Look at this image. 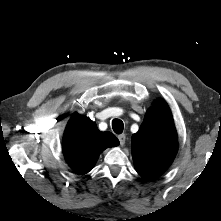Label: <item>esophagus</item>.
Wrapping results in <instances>:
<instances>
[{"mask_svg": "<svg viewBox=\"0 0 221 221\" xmlns=\"http://www.w3.org/2000/svg\"><path fill=\"white\" fill-rule=\"evenodd\" d=\"M118 139H119L120 145L123 146L125 144V140H126L125 134L118 135Z\"/></svg>", "mask_w": 221, "mask_h": 221, "instance_id": "esophagus-1", "label": "esophagus"}]
</instances>
